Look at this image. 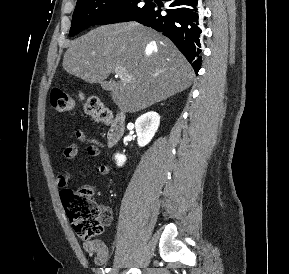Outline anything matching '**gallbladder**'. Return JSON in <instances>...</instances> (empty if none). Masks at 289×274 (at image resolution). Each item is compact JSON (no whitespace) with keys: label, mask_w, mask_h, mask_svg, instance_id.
<instances>
[{"label":"gallbladder","mask_w":289,"mask_h":274,"mask_svg":"<svg viewBox=\"0 0 289 274\" xmlns=\"http://www.w3.org/2000/svg\"><path fill=\"white\" fill-rule=\"evenodd\" d=\"M101 86H102V88H104V89H108V88L111 87L110 84H109V82H102V83H101Z\"/></svg>","instance_id":"1"}]
</instances>
